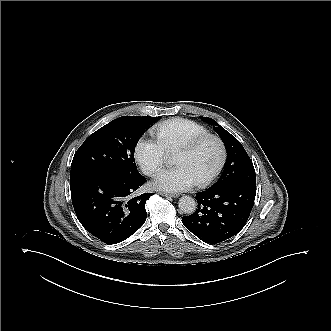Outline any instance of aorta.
<instances>
[{"label": "aorta", "instance_id": "obj_1", "mask_svg": "<svg viewBox=\"0 0 331 331\" xmlns=\"http://www.w3.org/2000/svg\"><path fill=\"white\" fill-rule=\"evenodd\" d=\"M196 202L195 200L190 197V196H182L179 201H178V207L180 209V211H182V213L184 214H192L195 212L196 210Z\"/></svg>", "mask_w": 331, "mask_h": 331}]
</instances>
